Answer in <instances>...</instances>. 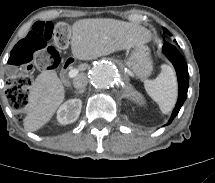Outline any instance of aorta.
Wrapping results in <instances>:
<instances>
[{
  "mask_svg": "<svg viewBox=\"0 0 215 183\" xmlns=\"http://www.w3.org/2000/svg\"><path fill=\"white\" fill-rule=\"evenodd\" d=\"M119 76L117 67L107 61L94 64L89 70V81L100 90H107L116 84Z\"/></svg>",
  "mask_w": 215,
  "mask_h": 183,
  "instance_id": "1",
  "label": "aorta"
}]
</instances>
